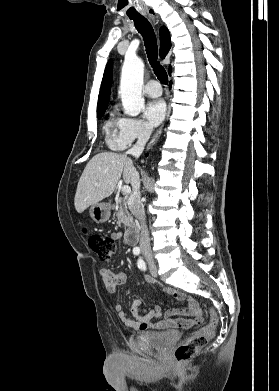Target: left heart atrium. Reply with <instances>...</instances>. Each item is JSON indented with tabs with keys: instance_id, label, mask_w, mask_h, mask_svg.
<instances>
[{
	"instance_id": "obj_1",
	"label": "left heart atrium",
	"mask_w": 279,
	"mask_h": 391,
	"mask_svg": "<svg viewBox=\"0 0 279 391\" xmlns=\"http://www.w3.org/2000/svg\"><path fill=\"white\" fill-rule=\"evenodd\" d=\"M165 114L166 105L165 102L160 99L149 102L144 109V115L152 126L160 124L164 119Z\"/></svg>"
}]
</instances>
